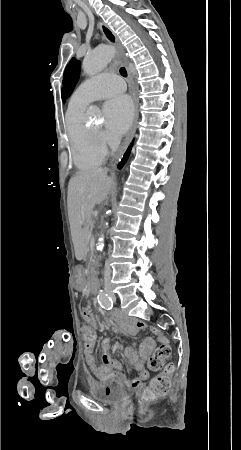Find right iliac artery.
Segmentation results:
<instances>
[{
    "instance_id": "82829eb1",
    "label": "right iliac artery",
    "mask_w": 241,
    "mask_h": 450,
    "mask_svg": "<svg viewBox=\"0 0 241 450\" xmlns=\"http://www.w3.org/2000/svg\"><path fill=\"white\" fill-rule=\"evenodd\" d=\"M97 299L102 308L107 309V310L112 309L113 301L105 291L100 290V292L97 296Z\"/></svg>"
}]
</instances>
